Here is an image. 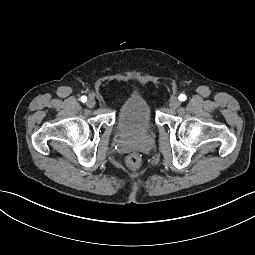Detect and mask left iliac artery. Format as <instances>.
<instances>
[{
	"label": "left iliac artery",
	"mask_w": 255,
	"mask_h": 255,
	"mask_svg": "<svg viewBox=\"0 0 255 255\" xmlns=\"http://www.w3.org/2000/svg\"><path fill=\"white\" fill-rule=\"evenodd\" d=\"M179 100H180V101L186 100V95L181 94V95L179 96Z\"/></svg>",
	"instance_id": "left-iliac-artery-1"
}]
</instances>
